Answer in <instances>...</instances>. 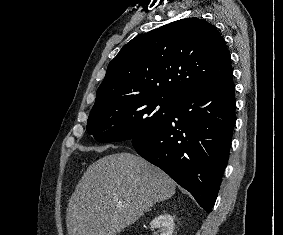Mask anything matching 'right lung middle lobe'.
I'll list each match as a JSON object with an SVG mask.
<instances>
[{"instance_id": "right-lung-middle-lobe-1", "label": "right lung middle lobe", "mask_w": 283, "mask_h": 235, "mask_svg": "<svg viewBox=\"0 0 283 235\" xmlns=\"http://www.w3.org/2000/svg\"><path fill=\"white\" fill-rule=\"evenodd\" d=\"M173 102V98L148 96L93 106L87 131L101 143L144 137L169 118Z\"/></svg>"}]
</instances>
